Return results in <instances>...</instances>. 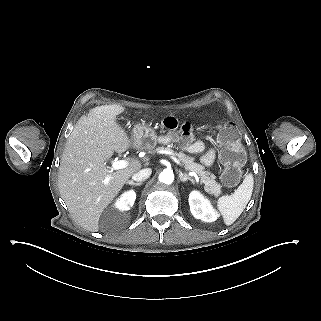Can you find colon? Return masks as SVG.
<instances>
[{"label":"colon","mask_w":321,"mask_h":321,"mask_svg":"<svg viewBox=\"0 0 321 321\" xmlns=\"http://www.w3.org/2000/svg\"><path fill=\"white\" fill-rule=\"evenodd\" d=\"M163 126L169 131L180 130L184 135L191 136L195 131V124L191 120L180 121L174 116H167L162 121ZM222 141L225 144L220 153V159L224 164L222 173L223 182L228 185H234L242 174L244 163V151L239 141V135L236 127L231 123L221 125Z\"/></svg>","instance_id":"colon-1"}]
</instances>
